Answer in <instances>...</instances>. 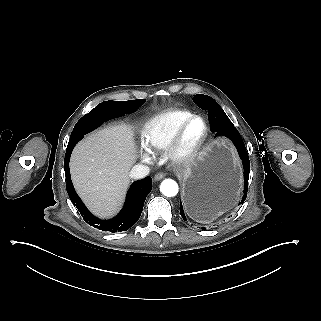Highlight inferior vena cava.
<instances>
[{"instance_id": "1", "label": "inferior vena cava", "mask_w": 321, "mask_h": 321, "mask_svg": "<svg viewBox=\"0 0 321 321\" xmlns=\"http://www.w3.org/2000/svg\"><path fill=\"white\" fill-rule=\"evenodd\" d=\"M149 173H150V168L142 164H136L130 170V176L132 178H137V179L144 178Z\"/></svg>"}]
</instances>
